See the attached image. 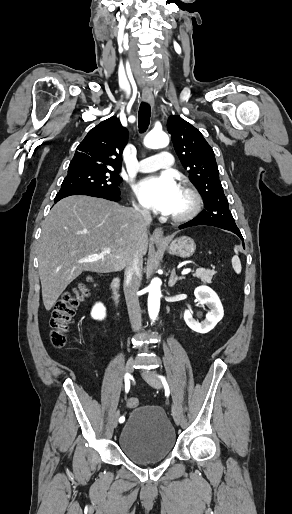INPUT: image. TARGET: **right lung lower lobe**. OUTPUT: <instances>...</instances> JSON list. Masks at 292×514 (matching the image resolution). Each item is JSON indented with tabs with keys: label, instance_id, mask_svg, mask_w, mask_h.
Returning a JSON list of instances; mask_svg holds the SVG:
<instances>
[{
	"label": "right lung lower lobe",
	"instance_id": "right-lung-lower-lobe-1",
	"mask_svg": "<svg viewBox=\"0 0 292 514\" xmlns=\"http://www.w3.org/2000/svg\"><path fill=\"white\" fill-rule=\"evenodd\" d=\"M72 195H87V196H93V197H100L104 199H108L111 201H119L120 198V192L119 193H103V192H90V191H67L58 193L54 199V202L57 203L59 200L72 196Z\"/></svg>",
	"mask_w": 292,
	"mask_h": 514
}]
</instances>
